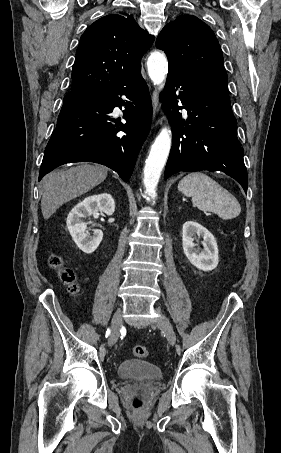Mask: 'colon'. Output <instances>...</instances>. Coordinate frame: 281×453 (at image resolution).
<instances>
[{"label": "colon", "mask_w": 281, "mask_h": 453, "mask_svg": "<svg viewBox=\"0 0 281 453\" xmlns=\"http://www.w3.org/2000/svg\"><path fill=\"white\" fill-rule=\"evenodd\" d=\"M48 265L58 271L59 279L67 283L71 286L73 290L78 288L77 278L74 270L70 268L63 267V260L57 254L49 255L47 259ZM133 355L137 358H148L149 357V349L143 345H134L132 348ZM142 400L138 397L133 399V407L135 409H140L142 407Z\"/></svg>", "instance_id": "colon-1"}]
</instances>
